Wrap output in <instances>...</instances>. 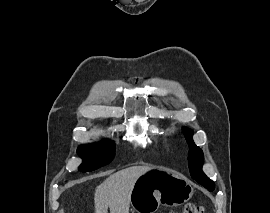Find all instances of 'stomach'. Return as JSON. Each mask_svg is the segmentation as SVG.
I'll return each instance as SVG.
<instances>
[{
  "mask_svg": "<svg viewBox=\"0 0 270 213\" xmlns=\"http://www.w3.org/2000/svg\"><path fill=\"white\" fill-rule=\"evenodd\" d=\"M193 191L190 181L181 174L155 167L136 180L130 203L137 213H155L160 205L176 207L186 203Z\"/></svg>",
  "mask_w": 270,
  "mask_h": 213,
  "instance_id": "0dacf381",
  "label": "stomach"
}]
</instances>
